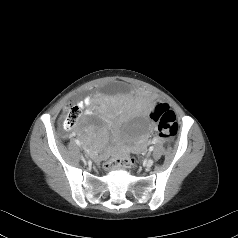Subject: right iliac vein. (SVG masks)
<instances>
[{"label":"right iliac vein","mask_w":238,"mask_h":238,"mask_svg":"<svg viewBox=\"0 0 238 238\" xmlns=\"http://www.w3.org/2000/svg\"><path fill=\"white\" fill-rule=\"evenodd\" d=\"M81 160L84 162V164H87V160L84 158L83 155H80Z\"/></svg>","instance_id":"1"}]
</instances>
